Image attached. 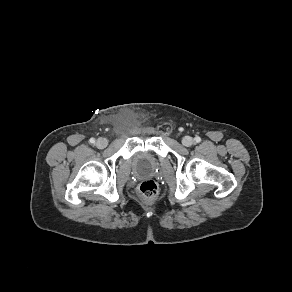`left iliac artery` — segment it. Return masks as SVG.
<instances>
[{"label": "left iliac artery", "instance_id": "44dca946", "mask_svg": "<svg viewBox=\"0 0 292 292\" xmlns=\"http://www.w3.org/2000/svg\"><path fill=\"white\" fill-rule=\"evenodd\" d=\"M194 140H195L196 143H199V142L201 141V138H200L199 136H196V137L194 138Z\"/></svg>", "mask_w": 292, "mask_h": 292}]
</instances>
